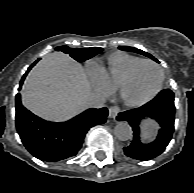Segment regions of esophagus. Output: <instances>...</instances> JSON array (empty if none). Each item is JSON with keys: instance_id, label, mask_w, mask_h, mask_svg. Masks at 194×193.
Segmentation results:
<instances>
[{"instance_id": "34e87169", "label": "esophagus", "mask_w": 194, "mask_h": 193, "mask_svg": "<svg viewBox=\"0 0 194 193\" xmlns=\"http://www.w3.org/2000/svg\"><path fill=\"white\" fill-rule=\"evenodd\" d=\"M120 112V108L118 106H111L109 108V118H115Z\"/></svg>"}]
</instances>
